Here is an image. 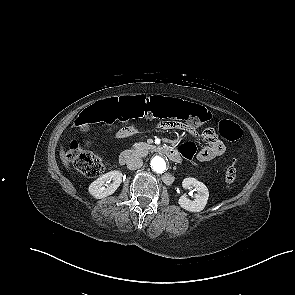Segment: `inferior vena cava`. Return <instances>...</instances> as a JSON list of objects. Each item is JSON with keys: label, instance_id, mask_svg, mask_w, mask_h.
<instances>
[{"label": "inferior vena cava", "instance_id": "1", "mask_svg": "<svg viewBox=\"0 0 295 295\" xmlns=\"http://www.w3.org/2000/svg\"><path fill=\"white\" fill-rule=\"evenodd\" d=\"M143 165V161L141 158L139 157H131L128 161H127V168L129 170H136L141 168Z\"/></svg>", "mask_w": 295, "mask_h": 295}]
</instances>
